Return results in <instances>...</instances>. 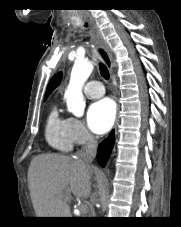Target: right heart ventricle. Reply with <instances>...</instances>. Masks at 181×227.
Segmentation results:
<instances>
[{
    "label": "right heart ventricle",
    "instance_id": "obj_1",
    "mask_svg": "<svg viewBox=\"0 0 181 227\" xmlns=\"http://www.w3.org/2000/svg\"><path fill=\"white\" fill-rule=\"evenodd\" d=\"M67 126L68 118L60 114L57 106H53L47 116L45 138L52 148L61 152H69L73 147Z\"/></svg>",
    "mask_w": 181,
    "mask_h": 227
}]
</instances>
